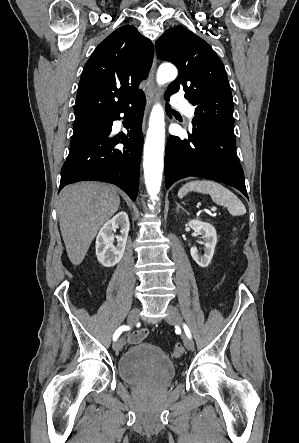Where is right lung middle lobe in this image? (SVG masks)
<instances>
[{
  "instance_id": "1",
  "label": "right lung middle lobe",
  "mask_w": 299,
  "mask_h": 443,
  "mask_svg": "<svg viewBox=\"0 0 299 443\" xmlns=\"http://www.w3.org/2000/svg\"><path fill=\"white\" fill-rule=\"evenodd\" d=\"M74 133L71 139V149L75 148L91 136L104 131L101 117L91 118L74 125Z\"/></svg>"
}]
</instances>
